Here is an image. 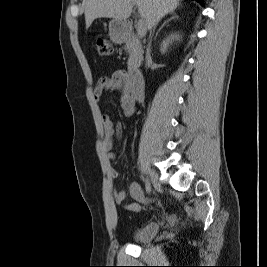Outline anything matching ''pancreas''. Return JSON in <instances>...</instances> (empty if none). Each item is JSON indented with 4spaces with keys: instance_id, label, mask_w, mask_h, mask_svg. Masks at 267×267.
<instances>
[{
    "instance_id": "1",
    "label": "pancreas",
    "mask_w": 267,
    "mask_h": 267,
    "mask_svg": "<svg viewBox=\"0 0 267 267\" xmlns=\"http://www.w3.org/2000/svg\"><path fill=\"white\" fill-rule=\"evenodd\" d=\"M124 49L129 53L128 73L135 72L143 60L142 45L137 35H129L125 40Z\"/></svg>"
}]
</instances>
